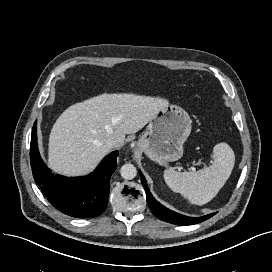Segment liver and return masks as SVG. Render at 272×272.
Here are the masks:
<instances>
[{
	"label": "liver",
	"instance_id": "obj_1",
	"mask_svg": "<svg viewBox=\"0 0 272 272\" xmlns=\"http://www.w3.org/2000/svg\"><path fill=\"white\" fill-rule=\"evenodd\" d=\"M168 105L159 97L104 93L68 107L51 129L48 166L65 176L89 173L110 151L109 137L121 145Z\"/></svg>",
	"mask_w": 272,
	"mask_h": 272
}]
</instances>
